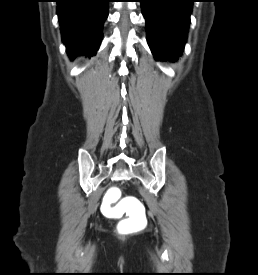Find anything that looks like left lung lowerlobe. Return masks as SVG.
Masks as SVG:
<instances>
[{
    "label": "left lung lower lobe",
    "mask_w": 258,
    "mask_h": 275,
    "mask_svg": "<svg viewBox=\"0 0 258 275\" xmlns=\"http://www.w3.org/2000/svg\"><path fill=\"white\" fill-rule=\"evenodd\" d=\"M194 0H140L147 41L158 60H175L187 38Z\"/></svg>",
    "instance_id": "1"
}]
</instances>
